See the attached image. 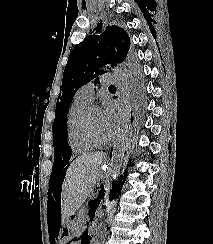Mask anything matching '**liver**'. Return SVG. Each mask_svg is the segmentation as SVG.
<instances>
[{"label": "liver", "instance_id": "obj_1", "mask_svg": "<svg viewBox=\"0 0 213 244\" xmlns=\"http://www.w3.org/2000/svg\"><path fill=\"white\" fill-rule=\"evenodd\" d=\"M105 154L95 152L78 156L67 169L61 190L62 222L80 207L92 192Z\"/></svg>", "mask_w": 213, "mask_h": 244}]
</instances>
